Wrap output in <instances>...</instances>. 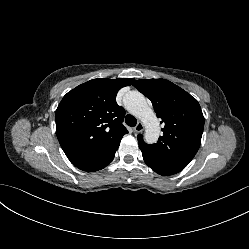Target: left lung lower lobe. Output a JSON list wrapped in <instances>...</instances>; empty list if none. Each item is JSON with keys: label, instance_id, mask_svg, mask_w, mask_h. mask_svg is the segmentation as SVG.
<instances>
[{"label": "left lung lower lobe", "instance_id": "left-lung-lower-lobe-1", "mask_svg": "<svg viewBox=\"0 0 249 249\" xmlns=\"http://www.w3.org/2000/svg\"><path fill=\"white\" fill-rule=\"evenodd\" d=\"M145 163L160 175H173L182 171L187 165L178 162H171L154 158L142 152Z\"/></svg>", "mask_w": 249, "mask_h": 249}]
</instances>
